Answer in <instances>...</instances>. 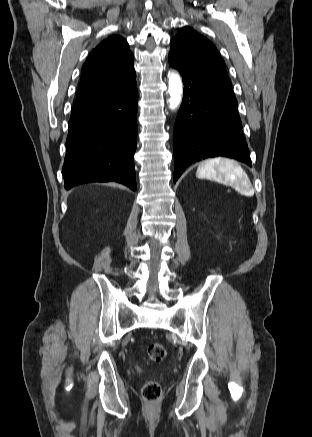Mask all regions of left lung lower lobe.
Wrapping results in <instances>:
<instances>
[{
	"instance_id": "0a47b994",
	"label": "left lung lower lobe",
	"mask_w": 312,
	"mask_h": 437,
	"mask_svg": "<svg viewBox=\"0 0 312 437\" xmlns=\"http://www.w3.org/2000/svg\"><path fill=\"white\" fill-rule=\"evenodd\" d=\"M183 77L184 97L173 132L174 182L192 163L225 156L251 166L235 95L169 56Z\"/></svg>"
}]
</instances>
